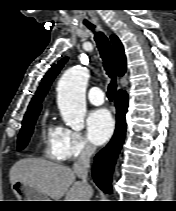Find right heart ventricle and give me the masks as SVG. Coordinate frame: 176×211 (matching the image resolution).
<instances>
[{
    "instance_id": "right-heart-ventricle-1",
    "label": "right heart ventricle",
    "mask_w": 176,
    "mask_h": 211,
    "mask_svg": "<svg viewBox=\"0 0 176 211\" xmlns=\"http://www.w3.org/2000/svg\"><path fill=\"white\" fill-rule=\"evenodd\" d=\"M62 128L52 122H48L42 135L43 151L46 156L54 160H61V154L58 150V143L61 138Z\"/></svg>"
}]
</instances>
